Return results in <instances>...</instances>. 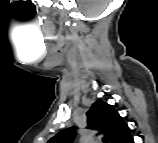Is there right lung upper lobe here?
Returning a JSON list of instances; mask_svg holds the SVG:
<instances>
[{"instance_id":"right-lung-upper-lobe-1","label":"right lung upper lobe","mask_w":158,"mask_h":143,"mask_svg":"<svg viewBox=\"0 0 158 143\" xmlns=\"http://www.w3.org/2000/svg\"><path fill=\"white\" fill-rule=\"evenodd\" d=\"M87 116V128L99 130L98 134L107 136L110 143H127L132 138L128 125L119 113L106 102H95L87 112ZM76 129L77 127L67 128L52 137L48 143H72Z\"/></svg>"}]
</instances>
